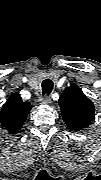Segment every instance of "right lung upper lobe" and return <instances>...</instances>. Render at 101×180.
<instances>
[{
	"label": "right lung upper lobe",
	"instance_id": "1",
	"mask_svg": "<svg viewBox=\"0 0 101 180\" xmlns=\"http://www.w3.org/2000/svg\"><path fill=\"white\" fill-rule=\"evenodd\" d=\"M31 108L32 105L23 102L19 95L11 94L1 109V124L9 133L14 134L22 127Z\"/></svg>",
	"mask_w": 101,
	"mask_h": 180
}]
</instances>
